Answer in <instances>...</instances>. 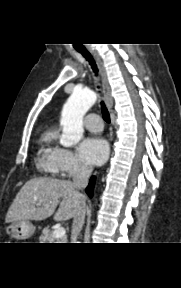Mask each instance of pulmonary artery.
I'll list each match as a JSON object with an SVG mask.
<instances>
[{
    "label": "pulmonary artery",
    "mask_w": 181,
    "mask_h": 288,
    "mask_svg": "<svg viewBox=\"0 0 181 288\" xmlns=\"http://www.w3.org/2000/svg\"><path fill=\"white\" fill-rule=\"evenodd\" d=\"M85 126L89 131L100 132L102 130V120L96 113H89L85 118Z\"/></svg>",
    "instance_id": "obj_1"
}]
</instances>
